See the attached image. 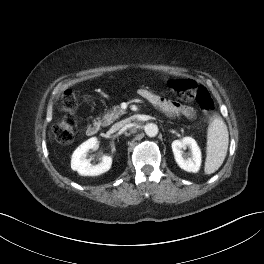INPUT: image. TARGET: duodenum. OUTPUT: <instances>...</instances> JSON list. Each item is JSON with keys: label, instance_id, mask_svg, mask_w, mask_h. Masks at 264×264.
Masks as SVG:
<instances>
[{"label": "duodenum", "instance_id": "410a0bca", "mask_svg": "<svg viewBox=\"0 0 264 264\" xmlns=\"http://www.w3.org/2000/svg\"><path fill=\"white\" fill-rule=\"evenodd\" d=\"M99 129L100 123L98 121H94L87 127L86 133L89 136H95L98 134Z\"/></svg>", "mask_w": 264, "mask_h": 264}]
</instances>
